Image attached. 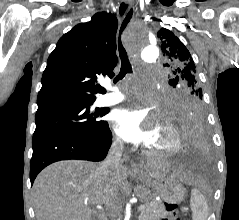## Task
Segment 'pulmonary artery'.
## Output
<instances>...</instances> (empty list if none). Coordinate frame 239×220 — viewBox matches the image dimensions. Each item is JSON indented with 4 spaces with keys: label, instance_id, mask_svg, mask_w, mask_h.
Masks as SVG:
<instances>
[{
    "label": "pulmonary artery",
    "instance_id": "1",
    "mask_svg": "<svg viewBox=\"0 0 239 220\" xmlns=\"http://www.w3.org/2000/svg\"><path fill=\"white\" fill-rule=\"evenodd\" d=\"M108 89L110 92L105 94L101 100L103 105L117 104L126 99V95L120 91L119 87L109 85Z\"/></svg>",
    "mask_w": 239,
    "mask_h": 220
}]
</instances>
